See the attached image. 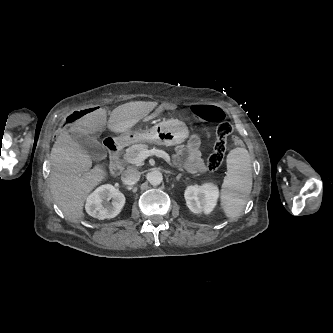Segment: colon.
Returning <instances> with one entry per match:
<instances>
[{
  "mask_svg": "<svg viewBox=\"0 0 333 333\" xmlns=\"http://www.w3.org/2000/svg\"><path fill=\"white\" fill-rule=\"evenodd\" d=\"M97 112V106L86 107L83 110L71 114L67 120L68 123H72L78 118ZM192 112L203 121L218 124L216 142L213 147V152L210 154L207 161V169L214 171L222 164L226 152L227 139L232 135L234 128L231 123L225 121L224 112L214 105H197L192 108ZM233 144L236 148L241 149L244 147L245 142L240 136H235L233 138Z\"/></svg>",
  "mask_w": 333,
  "mask_h": 333,
  "instance_id": "5ec220e1",
  "label": "colon"
}]
</instances>
